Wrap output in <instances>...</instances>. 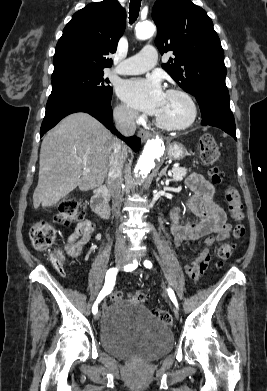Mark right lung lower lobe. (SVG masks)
Returning <instances> with one entry per match:
<instances>
[{
	"mask_svg": "<svg viewBox=\"0 0 267 391\" xmlns=\"http://www.w3.org/2000/svg\"><path fill=\"white\" fill-rule=\"evenodd\" d=\"M110 103L111 100L81 94H68L48 99L40 136L42 137L65 116L75 112H86L124 140L134 151H137L141 145L140 139L136 136L125 138L116 131Z\"/></svg>",
	"mask_w": 267,
	"mask_h": 391,
	"instance_id": "1",
	"label": "right lung lower lobe"
}]
</instances>
